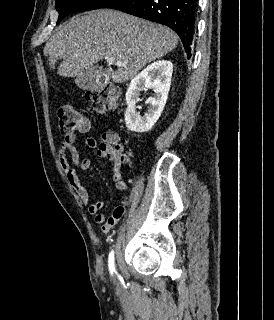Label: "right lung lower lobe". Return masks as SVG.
<instances>
[{"mask_svg": "<svg viewBox=\"0 0 274 320\" xmlns=\"http://www.w3.org/2000/svg\"><path fill=\"white\" fill-rule=\"evenodd\" d=\"M103 8L120 10L172 28L181 38L187 57H191L197 0H112Z\"/></svg>", "mask_w": 274, "mask_h": 320, "instance_id": "right-lung-lower-lobe-1", "label": "right lung lower lobe"}]
</instances>
